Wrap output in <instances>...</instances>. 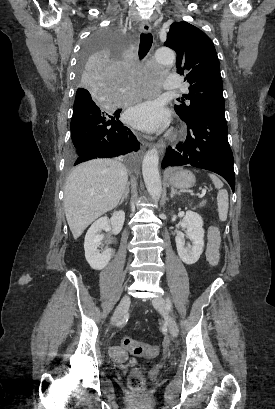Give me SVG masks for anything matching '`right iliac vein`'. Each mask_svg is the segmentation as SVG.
<instances>
[{"label":"right iliac vein","mask_w":275,"mask_h":409,"mask_svg":"<svg viewBox=\"0 0 275 409\" xmlns=\"http://www.w3.org/2000/svg\"><path fill=\"white\" fill-rule=\"evenodd\" d=\"M130 305V296L129 294H125L123 296V298L121 299L119 305L117 306L112 319H111V324L114 325L115 323H117L121 317L123 316V314L127 311V309L129 308Z\"/></svg>","instance_id":"obj_1"}]
</instances>
